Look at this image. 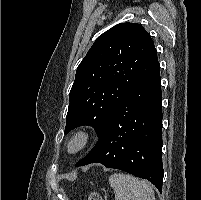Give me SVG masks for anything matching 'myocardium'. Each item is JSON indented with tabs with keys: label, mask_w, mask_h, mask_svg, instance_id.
I'll use <instances>...</instances> for the list:
<instances>
[{
	"label": "myocardium",
	"mask_w": 201,
	"mask_h": 200,
	"mask_svg": "<svg viewBox=\"0 0 201 200\" xmlns=\"http://www.w3.org/2000/svg\"><path fill=\"white\" fill-rule=\"evenodd\" d=\"M92 140V132L87 128H80L74 131L65 144L66 153L76 155L84 151Z\"/></svg>",
	"instance_id": "1"
}]
</instances>
